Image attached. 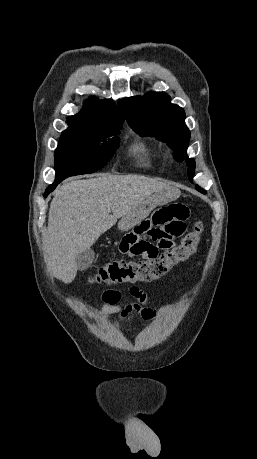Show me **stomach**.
Here are the masks:
<instances>
[{"instance_id":"1","label":"stomach","mask_w":257,"mask_h":459,"mask_svg":"<svg viewBox=\"0 0 257 459\" xmlns=\"http://www.w3.org/2000/svg\"><path fill=\"white\" fill-rule=\"evenodd\" d=\"M179 195L180 191L171 186L155 192L123 216L118 222V229L121 231H128L133 228L134 223H141L143 217H148L150 211L154 209V205H164L174 201Z\"/></svg>"}]
</instances>
